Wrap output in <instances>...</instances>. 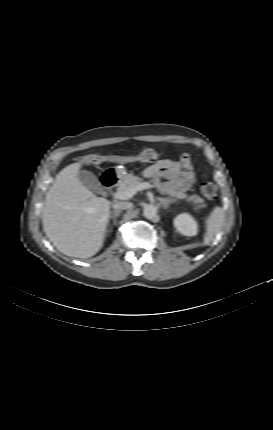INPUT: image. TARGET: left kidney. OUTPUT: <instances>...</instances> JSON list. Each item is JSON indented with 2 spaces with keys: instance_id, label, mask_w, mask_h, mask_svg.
<instances>
[{
  "instance_id": "1",
  "label": "left kidney",
  "mask_w": 273,
  "mask_h": 430,
  "mask_svg": "<svg viewBox=\"0 0 273 430\" xmlns=\"http://www.w3.org/2000/svg\"><path fill=\"white\" fill-rule=\"evenodd\" d=\"M174 225L177 231L185 236H195L198 233V224L189 213L178 215L174 220Z\"/></svg>"
}]
</instances>
